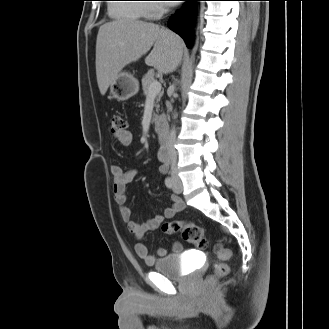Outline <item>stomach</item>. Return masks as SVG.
Listing matches in <instances>:
<instances>
[{"label":"stomach","instance_id":"1","mask_svg":"<svg viewBox=\"0 0 329 329\" xmlns=\"http://www.w3.org/2000/svg\"><path fill=\"white\" fill-rule=\"evenodd\" d=\"M139 91L137 79L127 72H122L110 84V94L119 101H125Z\"/></svg>","mask_w":329,"mask_h":329}]
</instances>
